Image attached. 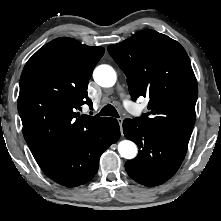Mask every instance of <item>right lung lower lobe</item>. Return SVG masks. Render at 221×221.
<instances>
[{"label":"right lung lower lobe","instance_id":"1","mask_svg":"<svg viewBox=\"0 0 221 221\" xmlns=\"http://www.w3.org/2000/svg\"><path fill=\"white\" fill-rule=\"evenodd\" d=\"M120 137L116 119L102 118L84 138L41 167L52 180L67 187L89 182L98 171L101 154Z\"/></svg>","mask_w":221,"mask_h":221}]
</instances>
